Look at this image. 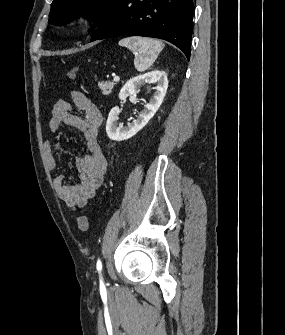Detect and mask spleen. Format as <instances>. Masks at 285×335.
Returning a JSON list of instances; mask_svg holds the SVG:
<instances>
[{"mask_svg": "<svg viewBox=\"0 0 285 335\" xmlns=\"http://www.w3.org/2000/svg\"><path fill=\"white\" fill-rule=\"evenodd\" d=\"M119 46L129 48L131 52L137 54L134 60V66L138 72L148 70L155 60L158 58L164 44L154 38H140V36H132V38H123L118 42Z\"/></svg>", "mask_w": 285, "mask_h": 335, "instance_id": "spleen-1", "label": "spleen"}]
</instances>
